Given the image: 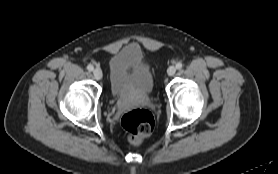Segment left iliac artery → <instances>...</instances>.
I'll list each match as a JSON object with an SVG mask.
<instances>
[{"mask_svg": "<svg viewBox=\"0 0 278 174\" xmlns=\"http://www.w3.org/2000/svg\"><path fill=\"white\" fill-rule=\"evenodd\" d=\"M183 67V64L181 63V62H178L177 64H176V68L177 69H181Z\"/></svg>", "mask_w": 278, "mask_h": 174, "instance_id": "1", "label": "left iliac artery"}]
</instances>
